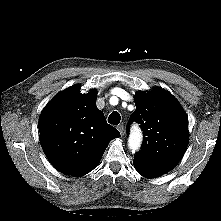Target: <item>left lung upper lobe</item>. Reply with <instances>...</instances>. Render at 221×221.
<instances>
[{
  "label": "left lung upper lobe",
  "mask_w": 221,
  "mask_h": 221,
  "mask_svg": "<svg viewBox=\"0 0 221 221\" xmlns=\"http://www.w3.org/2000/svg\"><path fill=\"white\" fill-rule=\"evenodd\" d=\"M134 101L136 110L131 114L129 125L131 121L141 125L144 142L133 164L165 174L185 153L189 139L188 117L174 96L162 88L139 92Z\"/></svg>",
  "instance_id": "obj_1"
}]
</instances>
